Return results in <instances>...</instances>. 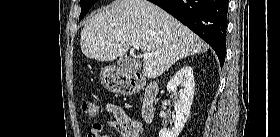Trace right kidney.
Wrapping results in <instances>:
<instances>
[{
    "label": "right kidney",
    "mask_w": 280,
    "mask_h": 137,
    "mask_svg": "<svg viewBox=\"0 0 280 137\" xmlns=\"http://www.w3.org/2000/svg\"><path fill=\"white\" fill-rule=\"evenodd\" d=\"M179 86L181 87L179 100L174 105V127L171 130L165 128L161 129L160 137H178L187 122L193 102L195 87L193 69L191 66H184L181 68L168 82L167 90L169 92H176Z\"/></svg>",
    "instance_id": "right-kidney-1"
}]
</instances>
